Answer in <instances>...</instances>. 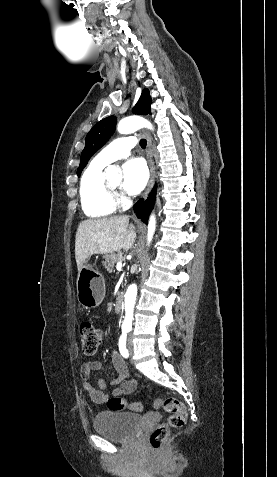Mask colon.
Listing matches in <instances>:
<instances>
[{
	"mask_svg": "<svg viewBox=\"0 0 277 477\" xmlns=\"http://www.w3.org/2000/svg\"><path fill=\"white\" fill-rule=\"evenodd\" d=\"M102 334L92 322L84 321L80 325V340L82 350L85 354L91 355L96 352ZM155 408H163L169 417L166 423L157 425L150 434L149 442L154 450H160L167 439L170 428L182 427L186 422V410L182 402L175 397H167L164 399H156L154 401ZM108 408L112 411H122L130 409L141 411L142 405L137 402H127L124 398L113 397L108 401Z\"/></svg>",
	"mask_w": 277,
	"mask_h": 477,
	"instance_id": "colon-1",
	"label": "colon"
}]
</instances>
